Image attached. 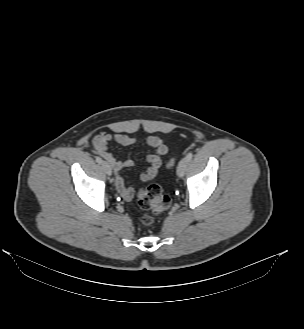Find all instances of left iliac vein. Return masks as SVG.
<instances>
[{"instance_id": "1", "label": "left iliac vein", "mask_w": 304, "mask_h": 329, "mask_svg": "<svg viewBox=\"0 0 304 329\" xmlns=\"http://www.w3.org/2000/svg\"><path fill=\"white\" fill-rule=\"evenodd\" d=\"M187 164H188V160L185 158H182L178 164V167H177V175L179 177H183L184 174H185V171H186V167H187Z\"/></svg>"}]
</instances>
